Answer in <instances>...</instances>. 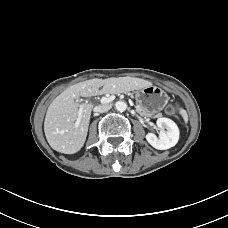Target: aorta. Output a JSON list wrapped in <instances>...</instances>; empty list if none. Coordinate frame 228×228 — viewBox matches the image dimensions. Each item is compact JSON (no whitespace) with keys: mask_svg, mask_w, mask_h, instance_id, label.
Returning <instances> with one entry per match:
<instances>
[{"mask_svg":"<svg viewBox=\"0 0 228 228\" xmlns=\"http://www.w3.org/2000/svg\"><path fill=\"white\" fill-rule=\"evenodd\" d=\"M115 108L117 111L124 112L127 108V104L123 101H117L115 103Z\"/></svg>","mask_w":228,"mask_h":228,"instance_id":"1","label":"aorta"}]
</instances>
